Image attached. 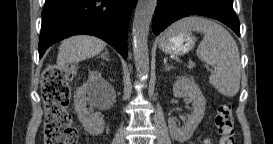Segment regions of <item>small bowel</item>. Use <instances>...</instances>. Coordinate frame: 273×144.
<instances>
[{"mask_svg":"<svg viewBox=\"0 0 273 144\" xmlns=\"http://www.w3.org/2000/svg\"><path fill=\"white\" fill-rule=\"evenodd\" d=\"M204 143L209 144V143H211V140H210V139H206V140L204 141Z\"/></svg>","mask_w":273,"mask_h":144,"instance_id":"1","label":"small bowel"}]
</instances>
